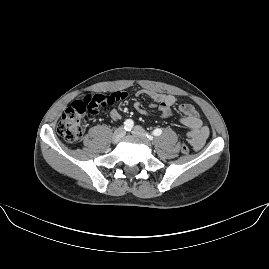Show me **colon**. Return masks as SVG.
Returning <instances> with one entry per match:
<instances>
[{
  "instance_id": "colon-1",
  "label": "colon",
  "mask_w": 269,
  "mask_h": 269,
  "mask_svg": "<svg viewBox=\"0 0 269 269\" xmlns=\"http://www.w3.org/2000/svg\"><path fill=\"white\" fill-rule=\"evenodd\" d=\"M112 95L118 98L125 97L123 94L106 93L105 97L99 93H93L92 96H86L82 99L75 100L67 107L62 114L60 121L57 123L58 134L67 142H77L83 136L87 114L94 115L99 111V108L105 107L107 104L113 102ZM183 151L188 152V146L183 145Z\"/></svg>"
}]
</instances>
